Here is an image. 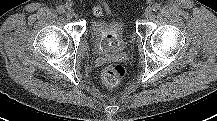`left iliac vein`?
I'll return each mask as SVG.
<instances>
[{"mask_svg":"<svg viewBox=\"0 0 217 121\" xmlns=\"http://www.w3.org/2000/svg\"><path fill=\"white\" fill-rule=\"evenodd\" d=\"M151 14H152V8L151 7L146 8L145 11H144V16L146 18H148V17L151 16Z\"/></svg>","mask_w":217,"mask_h":121,"instance_id":"obj_1","label":"left iliac vein"}]
</instances>
